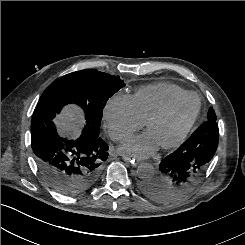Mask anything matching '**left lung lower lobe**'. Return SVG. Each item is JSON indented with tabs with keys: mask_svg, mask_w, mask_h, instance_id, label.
Here are the masks:
<instances>
[{
	"mask_svg": "<svg viewBox=\"0 0 245 245\" xmlns=\"http://www.w3.org/2000/svg\"><path fill=\"white\" fill-rule=\"evenodd\" d=\"M216 122L206 121L159 164L157 177L142 185L143 192L157 201H168L184 193L199 179L218 147Z\"/></svg>",
	"mask_w": 245,
	"mask_h": 245,
	"instance_id": "obj_1",
	"label": "left lung lower lobe"
}]
</instances>
